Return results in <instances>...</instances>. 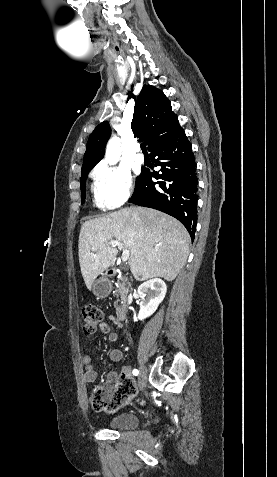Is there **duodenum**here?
Returning a JSON list of instances; mask_svg holds the SVG:
<instances>
[{
	"label": "duodenum",
	"instance_id": "410a0bca",
	"mask_svg": "<svg viewBox=\"0 0 277 477\" xmlns=\"http://www.w3.org/2000/svg\"><path fill=\"white\" fill-rule=\"evenodd\" d=\"M118 273V271L116 269H111L109 270L108 274L112 277V276H115L116 274ZM127 315H128V309H127V306L125 304H121L120 306H118L117 310H116V316H117V319L119 321H123L127 318Z\"/></svg>",
	"mask_w": 277,
	"mask_h": 477
}]
</instances>
